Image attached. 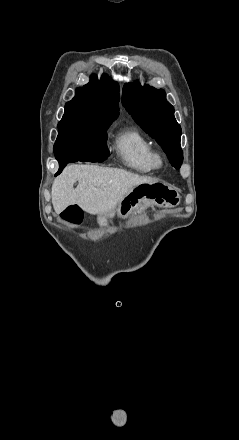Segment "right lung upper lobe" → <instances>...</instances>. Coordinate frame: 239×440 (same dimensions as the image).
Here are the masks:
<instances>
[{"mask_svg": "<svg viewBox=\"0 0 239 440\" xmlns=\"http://www.w3.org/2000/svg\"><path fill=\"white\" fill-rule=\"evenodd\" d=\"M119 85L106 74L100 81L96 76L76 89V95L65 105V113L80 117H101L114 120L118 116Z\"/></svg>", "mask_w": 239, "mask_h": 440, "instance_id": "cb5924a9", "label": "right lung upper lobe"}]
</instances>
